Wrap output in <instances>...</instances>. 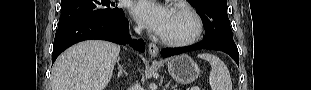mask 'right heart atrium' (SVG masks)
I'll use <instances>...</instances> for the list:
<instances>
[{
  "instance_id": "obj_1",
  "label": "right heart atrium",
  "mask_w": 311,
  "mask_h": 90,
  "mask_svg": "<svg viewBox=\"0 0 311 90\" xmlns=\"http://www.w3.org/2000/svg\"><path fill=\"white\" fill-rule=\"evenodd\" d=\"M136 28H137V29H139V28H140V26H136Z\"/></svg>"
}]
</instances>
